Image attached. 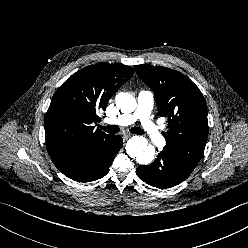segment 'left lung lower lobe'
<instances>
[{
  "mask_svg": "<svg viewBox=\"0 0 248 248\" xmlns=\"http://www.w3.org/2000/svg\"><path fill=\"white\" fill-rule=\"evenodd\" d=\"M192 171L193 169L165 151L160 152L157 159L150 165L139 166L136 169L137 176L142 181L160 189L181 183Z\"/></svg>",
  "mask_w": 248,
  "mask_h": 248,
  "instance_id": "obj_1",
  "label": "left lung lower lobe"
}]
</instances>
